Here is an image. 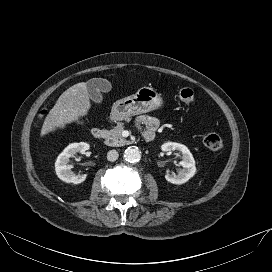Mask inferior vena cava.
Returning <instances> with one entry per match:
<instances>
[{"label":"inferior vena cava","instance_id":"602c4592","mask_svg":"<svg viewBox=\"0 0 272 272\" xmlns=\"http://www.w3.org/2000/svg\"><path fill=\"white\" fill-rule=\"evenodd\" d=\"M118 152L116 150H110L108 153H107V159L108 161H116L118 159Z\"/></svg>","mask_w":272,"mask_h":272}]
</instances>
